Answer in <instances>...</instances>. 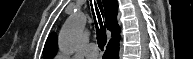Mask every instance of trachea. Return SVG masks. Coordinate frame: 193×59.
<instances>
[{
	"instance_id": "trachea-1",
	"label": "trachea",
	"mask_w": 193,
	"mask_h": 59,
	"mask_svg": "<svg viewBox=\"0 0 193 59\" xmlns=\"http://www.w3.org/2000/svg\"><path fill=\"white\" fill-rule=\"evenodd\" d=\"M91 5H92V3H91ZM94 5H95L96 16L98 19V22H97L95 12H94V9L92 7V14H93V18L95 21V27H96L97 42H98V47L103 51V48L107 42L106 28L103 25V21H102L104 11H103V6H102L101 2L98 1V7H97L96 3H94ZM101 15H102V17H101Z\"/></svg>"
}]
</instances>
